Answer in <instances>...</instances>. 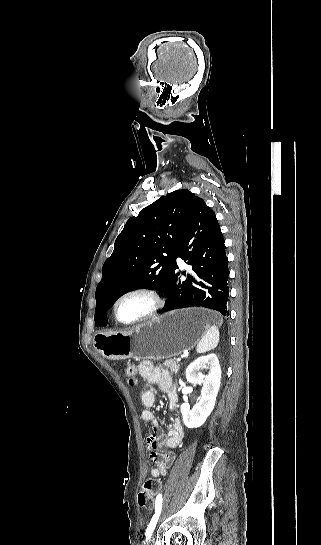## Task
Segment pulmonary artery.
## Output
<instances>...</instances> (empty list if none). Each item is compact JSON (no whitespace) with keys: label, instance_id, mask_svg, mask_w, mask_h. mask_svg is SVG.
<instances>
[{"label":"pulmonary artery","instance_id":"pulmonary-artery-1","mask_svg":"<svg viewBox=\"0 0 321 545\" xmlns=\"http://www.w3.org/2000/svg\"><path fill=\"white\" fill-rule=\"evenodd\" d=\"M177 263H178V265L181 266V267L186 266L185 262H184L181 258H179V257L177 258Z\"/></svg>","mask_w":321,"mask_h":545}]
</instances>
